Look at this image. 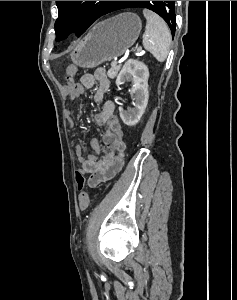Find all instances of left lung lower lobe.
<instances>
[{"instance_id": "1", "label": "left lung lower lobe", "mask_w": 237, "mask_h": 300, "mask_svg": "<svg viewBox=\"0 0 237 300\" xmlns=\"http://www.w3.org/2000/svg\"><path fill=\"white\" fill-rule=\"evenodd\" d=\"M167 1H160L161 5H164ZM122 5V1H112L111 4L106 9V14L119 10ZM175 34V31L173 32V35Z\"/></svg>"}]
</instances>
